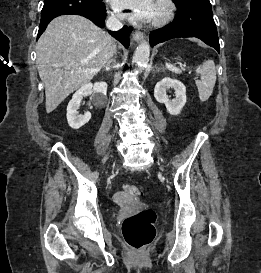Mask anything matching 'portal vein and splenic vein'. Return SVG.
Returning <instances> with one entry per match:
<instances>
[{
    "instance_id": "portal-vein-and-splenic-vein-1",
    "label": "portal vein and splenic vein",
    "mask_w": 261,
    "mask_h": 273,
    "mask_svg": "<svg viewBox=\"0 0 261 273\" xmlns=\"http://www.w3.org/2000/svg\"><path fill=\"white\" fill-rule=\"evenodd\" d=\"M181 67L184 69L186 67V65H184V64L182 65L181 64ZM189 73H191V71H189Z\"/></svg>"
}]
</instances>
